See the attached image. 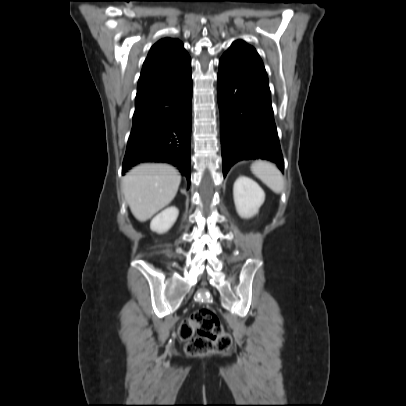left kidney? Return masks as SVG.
Here are the masks:
<instances>
[{"mask_svg":"<svg viewBox=\"0 0 406 406\" xmlns=\"http://www.w3.org/2000/svg\"><path fill=\"white\" fill-rule=\"evenodd\" d=\"M234 202L242 218H250L258 213L265 199L262 188L252 179L240 176L234 183Z\"/></svg>","mask_w":406,"mask_h":406,"instance_id":"5707ae66","label":"left kidney"}]
</instances>
